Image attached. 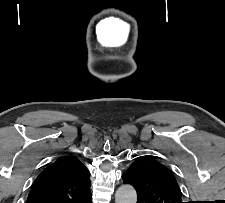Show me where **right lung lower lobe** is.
<instances>
[{
    "label": "right lung lower lobe",
    "instance_id": "right-lung-lower-lobe-1",
    "mask_svg": "<svg viewBox=\"0 0 225 203\" xmlns=\"http://www.w3.org/2000/svg\"><path fill=\"white\" fill-rule=\"evenodd\" d=\"M87 203H92V198Z\"/></svg>",
    "mask_w": 225,
    "mask_h": 203
}]
</instances>
